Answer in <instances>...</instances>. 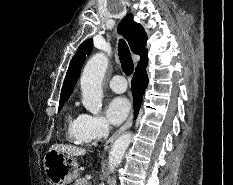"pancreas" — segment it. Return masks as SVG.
<instances>
[{"label": "pancreas", "mask_w": 233, "mask_h": 185, "mask_svg": "<svg viewBox=\"0 0 233 185\" xmlns=\"http://www.w3.org/2000/svg\"><path fill=\"white\" fill-rule=\"evenodd\" d=\"M74 185H88V182L84 178H77Z\"/></svg>", "instance_id": "obj_1"}]
</instances>
